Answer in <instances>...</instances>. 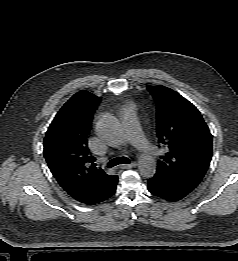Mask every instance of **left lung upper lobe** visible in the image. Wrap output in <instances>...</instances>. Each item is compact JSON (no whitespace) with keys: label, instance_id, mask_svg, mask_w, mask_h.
Returning a JSON list of instances; mask_svg holds the SVG:
<instances>
[{"label":"left lung upper lobe","instance_id":"1","mask_svg":"<svg viewBox=\"0 0 238 261\" xmlns=\"http://www.w3.org/2000/svg\"><path fill=\"white\" fill-rule=\"evenodd\" d=\"M156 105L158 142L167 147L156 174L192 192L212 157V135L198 109L162 85L148 88Z\"/></svg>","mask_w":238,"mask_h":261}]
</instances>
